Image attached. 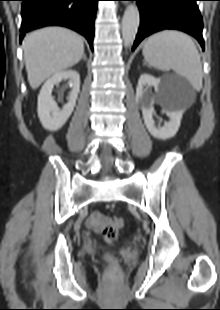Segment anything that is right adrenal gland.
<instances>
[{"label": "right adrenal gland", "instance_id": "obj_1", "mask_svg": "<svg viewBox=\"0 0 220 310\" xmlns=\"http://www.w3.org/2000/svg\"><path fill=\"white\" fill-rule=\"evenodd\" d=\"M83 59H84V60H87L86 55H83Z\"/></svg>", "mask_w": 220, "mask_h": 310}]
</instances>
